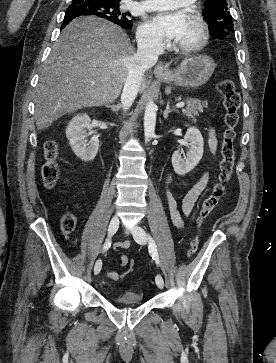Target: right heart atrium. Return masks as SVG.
Masks as SVG:
<instances>
[{"label": "right heart atrium", "mask_w": 276, "mask_h": 363, "mask_svg": "<svg viewBox=\"0 0 276 363\" xmlns=\"http://www.w3.org/2000/svg\"><path fill=\"white\" fill-rule=\"evenodd\" d=\"M138 37L139 41L145 46L158 47L161 44L160 36L147 23L139 27Z\"/></svg>", "instance_id": "d8ad5b80"}]
</instances>
